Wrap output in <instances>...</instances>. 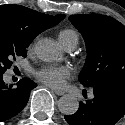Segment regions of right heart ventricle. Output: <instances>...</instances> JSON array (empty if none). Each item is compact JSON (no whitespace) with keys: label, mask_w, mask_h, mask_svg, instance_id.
<instances>
[{"label":"right heart ventricle","mask_w":125,"mask_h":125,"mask_svg":"<svg viewBox=\"0 0 125 125\" xmlns=\"http://www.w3.org/2000/svg\"><path fill=\"white\" fill-rule=\"evenodd\" d=\"M58 38L63 47L71 42H78V35L75 31L70 29L61 30L58 34Z\"/></svg>","instance_id":"obj_1"}]
</instances>
